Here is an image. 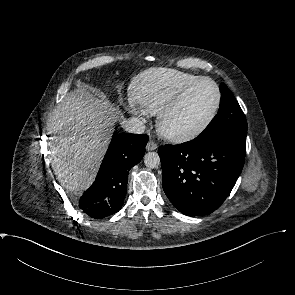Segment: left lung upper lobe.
<instances>
[{
  "mask_svg": "<svg viewBox=\"0 0 295 295\" xmlns=\"http://www.w3.org/2000/svg\"><path fill=\"white\" fill-rule=\"evenodd\" d=\"M220 92V108L217 115L196 139L225 136L246 143L247 122L242 109L224 83L220 85Z\"/></svg>",
  "mask_w": 295,
  "mask_h": 295,
  "instance_id": "left-lung-upper-lobe-1",
  "label": "left lung upper lobe"
}]
</instances>
